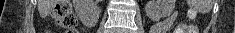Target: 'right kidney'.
<instances>
[{
  "label": "right kidney",
  "mask_w": 235,
  "mask_h": 33,
  "mask_svg": "<svg viewBox=\"0 0 235 33\" xmlns=\"http://www.w3.org/2000/svg\"><path fill=\"white\" fill-rule=\"evenodd\" d=\"M90 0H75V8L79 15V17L83 18L84 20L88 21L91 24L97 22L99 17V10H94L93 12L86 10V5L89 4Z\"/></svg>",
  "instance_id": "ca27d5eb"
}]
</instances>
